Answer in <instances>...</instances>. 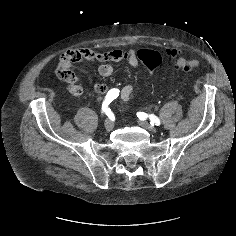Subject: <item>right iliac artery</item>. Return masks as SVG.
Returning <instances> with one entry per match:
<instances>
[{"mask_svg":"<svg viewBox=\"0 0 236 236\" xmlns=\"http://www.w3.org/2000/svg\"><path fill=\"white\" fill-rule=\"evenodd\" d=\"M119 89L113 88L108 91L105 96V99L102 103V112L106 113L107 115L110 113V108H108L109 104L119 96Z\"/></svg>","mask_w":236,"mask_h":236,"instance_id":"right-iliac-artery-1","label":"right iliac artery"}]
</instances>
